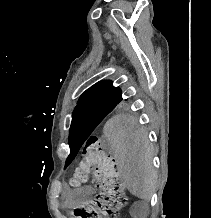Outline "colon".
I'll list each match as a JSON object with an SVG mask.
<instances>
[{"label": "colon", "instance_id": "obj_1", "mask_svg": "<svg viewBox=\"0 0 211 218\" xmlns=\"http://www.w3.org/2000/svg\"><path fill=\"white\" fill-rule=\"evenodd\" d=\"M91 180L98 193L85 208L75 210L77 218H117L127 204L124 184L115 159L107 154L100 140L90 136L84 145L71 184L80 186Z\"/></svg>", "mask_w": 211, "mask_h": 218}]
</instances>
